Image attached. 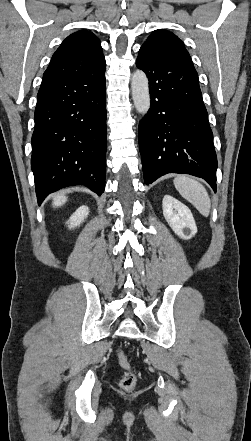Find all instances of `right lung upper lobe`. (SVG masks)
Returning a JSON list of instances; mask_svg holds the SVG:
<instances>
[{"label": "right lung upper lobe", "mask_w": 251, "mask_h": 441, "mask_svg": "<svg viewBox=\"0 0 251 441\" xmlns=\"http://www.w3.org/2000/svg\"><path fill=\"white\" fill-rule=\"evenodd\" d=\"M105 65L100 40L93 33L82 30L62 42L43 78L81 76L96 72Z\"/></svg>", "instance_id": "obj_1"}]
</instances>
